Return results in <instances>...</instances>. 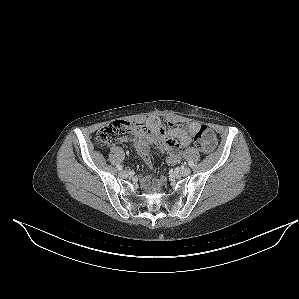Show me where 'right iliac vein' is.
I'll list each match as a JSON object with an SVG mask.
<instances>
[{
  "mask_svg": "<svg viewBox=\"0 0 299 299\" xmlns=\"http://www.w3.org/2000/svg\"><path fill=\"white\" fill-rule=\"evenodd\" d=\"M119 176L122 177V178H127V177H128V172H126V171H121V172L119 173Z\"/></svg>",
  "mask_w": 299,
  "mask_h": 299,
  "instance_id": "obj_1",
  "label": "right iliac vein"
}]
</instances>
